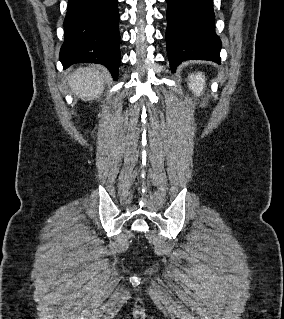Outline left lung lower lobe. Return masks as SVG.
<instances>
[{
	"mask_svg": "<svg viewBox=\"0 0 284 319\" xmlns=\"http://www.w3.org/2000/svg\"><path fill=\"white\" fill-rule=\"evenodd\" d=\"M166 46L172 72L185 60L220 64L221 41L215 33L212 0H166Z\"/></svg>",
	"mask_w": 284,
	"mask_h": 319,
	"instance_id": "1",
	"label": "left lung lower lobe"
}]
</instances>
